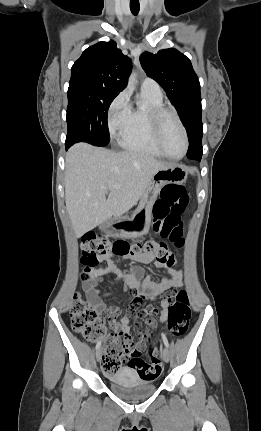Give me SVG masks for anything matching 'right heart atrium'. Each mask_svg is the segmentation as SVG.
I'll return each instance as SVG.
<instances>
[{"label": "right heart atrium", "mask_w": 261, "mask_h": 431, "mask_svg": "<svg viewBox=\"0 0 261 431\" xmlns=\"http://www.w3.org/2000/svg\"><path fill=\"white\" fill-rule=\"evenodd\" d=\"M132 107L127 90L120 92L108 108V127L112 135L121 133L129 119Z\"/></svg>", "instance_id": "right-heart-atrium-1"}]
</instances>
